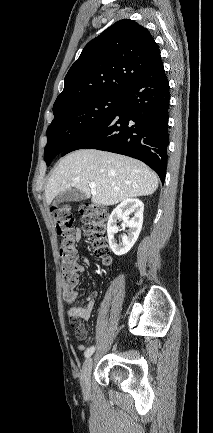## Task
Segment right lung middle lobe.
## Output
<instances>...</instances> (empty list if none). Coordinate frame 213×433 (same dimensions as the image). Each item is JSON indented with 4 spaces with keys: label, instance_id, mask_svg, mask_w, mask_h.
Listing matches in <instances>:
<instances>
[{
    "label": "right lung middle lobe",
    "instance_id": "dd1d6c3e",
    "mask_svg": "<svg viewBox=\"0 0 213 433\" xmlns=\"http://www.w3.org/2000/svg\"><path fill=\"white\" fill-rule=\"evenodd\" d=\"M120 98L121 95H97L54 111L44 149L47 166L55 156L106 120L117 107Z\"/></svg>",
    "mask_w": 213,
    "mask_h": 433
}]
</instances>
